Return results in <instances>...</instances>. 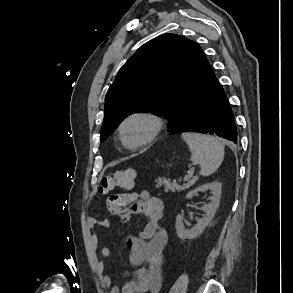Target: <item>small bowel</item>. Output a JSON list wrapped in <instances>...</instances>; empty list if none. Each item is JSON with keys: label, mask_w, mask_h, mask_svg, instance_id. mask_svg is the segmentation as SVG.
I'll return each instance as SVG.
<instances>
[{"label": "small bowel", "mask_w": 293, "mask_h": 293, "mask_svg": "<svg viewBox=\"0 0 293 293\" xmlns=\"http://www.w3.org/2000/svg\"><path fill=\"white\" fill-rule=\"evenodd\" d=\"M109 212L119 216L123 223L132 216L146 219L144 228L126 240L130 248L129 262L133 267L134 279L123 285H111V278L106 276L104 283L111 287L110 293H158L163 283L164 248L167 233L161 227L164 205L160 198L152 196L147 190L124 192L111 195L107 200ZM91 230L90 246L93 252L99 248L98 227L110 228L108 219L89 217L87 220ZM111 248L101 249L103 257L111 255Z\"/></svg>", "instance_id": "obj_1"}]
</instances>
